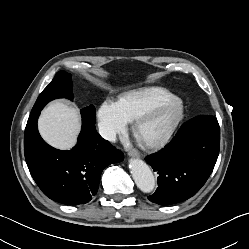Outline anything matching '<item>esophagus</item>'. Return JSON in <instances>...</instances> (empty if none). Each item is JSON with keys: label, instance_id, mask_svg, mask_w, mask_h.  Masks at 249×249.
<instances>
[{"label": "esophagus", "instance_id": "1", "mask_svg": "<svg viewBox=\"0 0 249 249\" xmlns=\"http://www.w3.org/2000/svg\"><path fill=\"white\" fill-rule=\"evenodd\" d=\"M128 155L133 158H139L141 156L140 152L136 149H132L128 152Z\"/></svg>", "mask_w": 249, "mask_h": 249}]
</instances>
